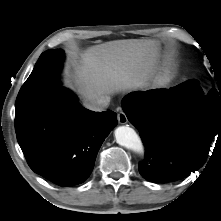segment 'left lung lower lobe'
<instances>
[{"label": "left lung lower lobe", "instance_id": "left-lung-lower-lobe-1", "mask_svg": "<svg viewBox=\"0 0 221 221\" xmlns=\"http://www.w3.org/2000/svg\"><path fill=\"white\" fill-rule=\"evenodd\" d=\"M196 80L170 89L126 95L122 107L146 147L139 164L143 178L169 183L203 166L210 144L221 142V100L201 96Z\"/></svg>", "mask_w": 221, "mask_h": 221}]
</instances>
